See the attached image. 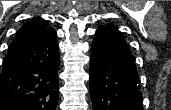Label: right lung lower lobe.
<instances>
[{
  "mask_svg": "<svg viewBox=\"0 0 171 110\" xmlns=\"http://www.w3.org/2000/svg\"><path fill=\"white\" fill-rule=\"evenodd\" d=\"M56 32L29 46L3 66L0 110H55L60 57Z\"/></svg>",
  "mask_w": 171,
  "mask_h": 110,
  "instance_id": "obj_1",
  "label": "right lung lower lobe"
}]
</instances>
